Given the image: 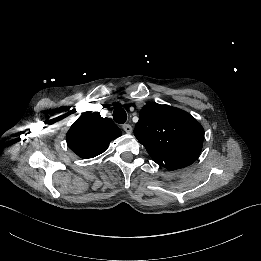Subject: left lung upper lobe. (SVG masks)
Instances as JSON below:
<instances>
[{
  "label": "left lung upper lobe",
  "instance_id": "obj_1",
  "mask_svg": "<svg viewBox=\"0 0 261 261\" xmlns=\"http://www.w3.org/2000/svg\"><path fill=\"white\" fill-rule=\"evenodd\" d=\"M134 135L152 160L168 170L192 164L204 140L202 126L189 113L155 102L141 109Z\"/></svg>",
  "mask_w": 261,
  "mask_h": 261
}]
</instances>
